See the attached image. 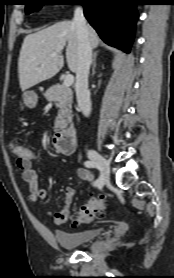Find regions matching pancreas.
I'll return each mask as SVG.
<instances>
[{
    "instance_id": "obj_1",
    "label": "pancreas",
    "mask_w": 174,
    "mask_h": 278,
    "mask_svg": "<svg viewBox=\"0 0 174 278\" xmlns=\"http://www.w3.org/2000/svg\"><path fill=\"white\" fill-rule=\"evenodd\" d=\"M44 97L49 102H55V106L59 108L58 116L56 118L57 123L61 120L71 119V108H72V100H73V92L71 88L65 87L64 85L56 84L46 90L44 93ZM66 121L61 123V125H65Z\"/></svg>"
}]
</instances>
